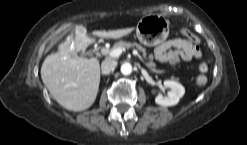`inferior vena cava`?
Instances as JSON below:
<instances>
[{
	"instance_id": "602c4592",
	"label": "inferior vena cava",
	"mask_w": 247,
	"mask_h": 145,
	"mask_svg": "<svg viewBox=\"0 0 247 145\" xmlns=\"http://www.w3.org/2000/svg\"><path fill=\"white\" fill-rule=\"evenodd\" d=\"M116 66H117V62L115 60L112 59L104 60L101 64L102 74L104 75L110 74L111 71H113Z\"/></svg>"
}]
</instances>
